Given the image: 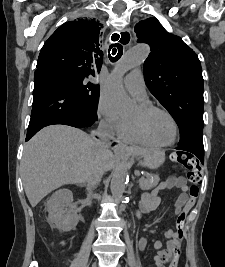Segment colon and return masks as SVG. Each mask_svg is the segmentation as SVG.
<instances>
[{
    "label": "colon",
    "instance_id": "obj_1",
    "mask_svg": "<svg viewBox=\"0 0 225 267\" xmlns=\"http://www.w3.org/2000/svg\"><path fill=\"white\" fill-rule=\"evenodd\" d=\"M171 159L174 162L179 163L187 170V176L191 183V186L188 190L189 198L178 212L176 226H177V238L179 240V244L176 246L172 261L169 267H178L180 255H181V241L184 237V225L187 218L188 213L192 209L196 198L199 195V185L202 182L203 178V169L199 160L191 153L184 151H177L171 155ZM159 267H165L164 262L159 264Z\"/></svg>",
    "mask_w": 225,
    "mask_h": 267
}]
</instances>
